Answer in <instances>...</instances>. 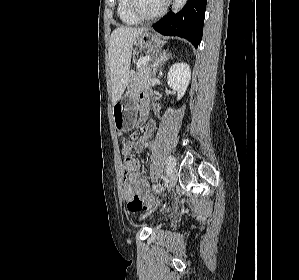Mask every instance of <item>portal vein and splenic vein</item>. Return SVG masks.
<instances>
[{
    "mask_svg": "<svg viewBox=\"0 0 299 280\" xmlns=\"http://www.w3.org/2000/svg\"><path fill=\"white\" fill-rule=\"evenodd\" d=\"M150 61V57H145V58H143V59H141V61L139 62V64H138V68H140V66L142 65V64H144V63H147V62H149Z\"/></svg>",
    "mask_w": 299,
    "mask_h": 280,
    "instance_id": "18ae733b",
    "label": "portal vein and splenic vein"
}]
</instances>
